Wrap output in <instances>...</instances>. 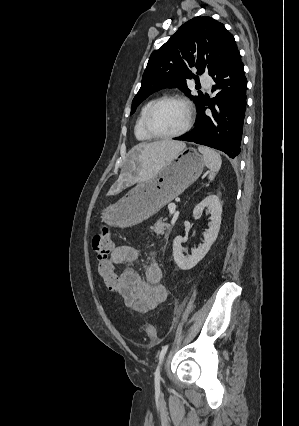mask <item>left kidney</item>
I'll return each instance as SVG.
<instances>
[{
  "label": "left kidney",
  "instance_id": "obj_1",
  "mask_svg": "<svg viewBox=\"0 0 299 426\" xmlns=\"http://www.w3.org/2000/svg\"><path fill=\"white\" fill-rule=\"evenodd\" d=\"M211 214V222L209 224V229L204 232V243L200 245L197 249H193L191 255L184 256L182 243L184 238L182 236H177L173 242V257L175 263L182 270H189L193 268L199 261H201L204 256L209 251L212 244L215 242L221 224V214H222V205L220 203L219 197L216 195H209L204 198L199 204H197L193 210L194 217H200L203 210Z\"/></svg>",
  "mask_w": 299,
  "mask_h": 426
}]
</instances>
